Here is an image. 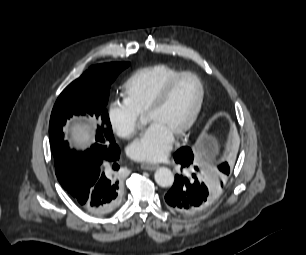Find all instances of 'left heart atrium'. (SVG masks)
<instances>
[{
  "instance_id": "left-heart-atrium-1",
  "label": "left heart atrium",
  "mask_w": 306,
  "mask_h": 255,
  "mask_svg": "<svg viewBox=\"0 0 306 255\" xmlns=\"http://www.w3.org/2000/svg\"><path fill=\"white\" fill-rule=\"evenodd\" d=\"M174 135L159 123L153 122L128 149V155L137 161L156 162L170 152Z\"/></svg>"
}]
</instances>
